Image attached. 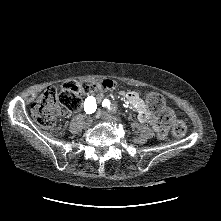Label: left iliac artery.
<instances>
[{
	"instance_id": "obj_1",
	"label": "left iliac artery",
	"mask_w": 221,
	"mask_h": 221,
	"mask_svg": "<svg viewBox=\"0 0 221 221\" xmlns=\"http://www.w3.org/2000/svg\"><path fill=\"white\" fill-rule=\"evenodd\" d=\"M102 106L107 107L108 109H110V101L108 99H104V101L102 102Z\"/></svg>"
}]
</instances>
